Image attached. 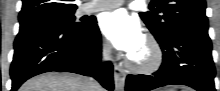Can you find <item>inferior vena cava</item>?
I'll use <instances>...</instances> for the list:
<instances>
[{"label":"inferior vena cava","mask_w":220,"mask_h":91,"mask_svg":"<svg viewBox=\"0 0 220 91\" xmlns=\"http://www.w3.org/2000/svg\"><path fill=\"white\" fill-rule=\"evenodd\" d=\"M111 57V47L109 45L104 46L103 48V60H109ZM95 86H99L96 82H94Z\"/></svg>","instance_id":"inferior-vena-cava-1"}]
</instances>
